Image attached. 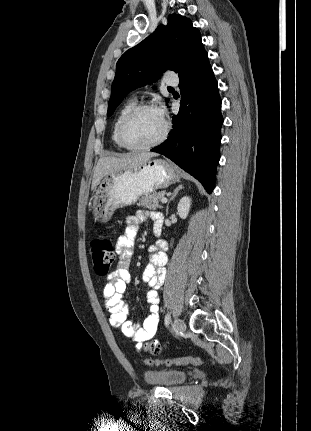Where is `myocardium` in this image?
I'll use <instances>...</instances> for the list:
<instances>
[{
  "mask_svg": "<svg viewBox=\"0 0 311 431\" xmlns=\"http://www.w3.org/2000/svg\"><path fill=\"white\" fill-rule=\"evenodd\" d=\"M148 109H155V108H154V106H152L151 104H148V103L137 104L130 111H128L123 116V118L121 119V121L119 123V127H118V133H119L120 141L125 148H127L129 150H147V149L158 146L159 144H161L166 139V137L169 133V124L165 119H163L164 120L163 132L161 133V135L159 137H157L152 142H149V143L143 144V145H134L129 141V139L127 137V127L129 125V123L137 115H139L141 112L148 110Z\"/></svg>",
  "mask_w": 311,
  "mask_h": 431,
  "instance_id": "1",
  "label": "myocardium"
}]
</instances>
